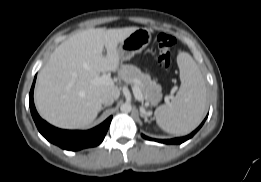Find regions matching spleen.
Wrapping results in <instances>:
<instances>
[{
	"mask_svg": "<svg viewBox=\"0 0 261 182\" xmlns=\"http://www.w3.org/2000/svg\"><path fill=\"white\" fill-rule=\"evenodd\" d=\"M177 63L181 85L175 98L159 106L154 116L158 126L170 134H187L201 122L207 105V90L202 73L186 52H179Z\"/></svg>",
	"mask_w": 261,
	"mask_h": 182,
	"instance_id": "spleen-1",
	"label": "spleen"
}]
</instances>
